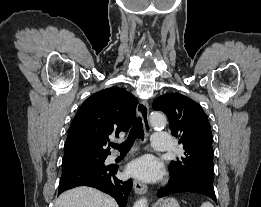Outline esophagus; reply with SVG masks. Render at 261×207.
<instances>
[{
    "instance_id": "34e87169",
    "label": "esophagus",
    "mask_w": 261,
    "mask_h": 207,
    "mask_svg": "<svg viewBox=\"0 0 261 207\" xmlns=\"http://www.w3.org/2000/svg\"><path fill=\"white\" fill-rule=\"evenodd\" d=\"M137 115L142 119L143 125H144V129L146 131H150L151 127H150V123H149V105L148 102L143 100L140 101L137 105ZM133 188L134 191L137 194H145L148 190V187L145 183L138 181V180H134L133 182Z\"/></svg>"
}]
</instances>
